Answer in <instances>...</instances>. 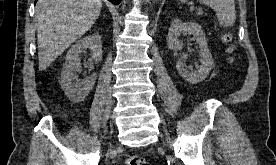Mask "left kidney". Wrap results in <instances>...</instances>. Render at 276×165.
<instances>
[{"instance_id": "5707ae66", "label": "left kidney", "mask_w": 276, "mask_h": 165, "mask_svg": "<svg viewBox=\"0 0 276 165\" xmlns=\"http://www.w3.org/2000/svg\"><path fill=\"white\" fill-rule=\"evenodd\" d=\"M181 33H187L193 36L199 45L200 65L193 70L192 67L186 65L180 59L176 63V69L181 77L186 81L196 84L203 81L210 70L214 67L212 55L208 49L207 39L201 26L195 22H182L179 19H174L169 28L167 36V45L171 50H180L183 47L182 42L178 39Z\"/></svg>"}]
</instances>
